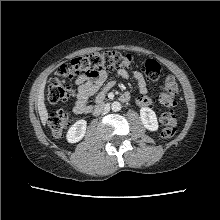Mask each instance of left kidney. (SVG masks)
<instances>
[{
  "instance_id": "5707ae66",
  "label": "left kidney",
  "mask_w": 220,
  "mask_h": 220,
  "mask_svg": "<svg viewBox=\"0 0 220 220\" xmlns=\"http://www.w3.org/2000/svg\"><path fill=\"white\" fill-rule=\"evenodd\" d=\"M140 119L147 130L156 131L158 129L157 117L151 108L142 107L140 109Z\"/></svg>"
}]
</instances>
